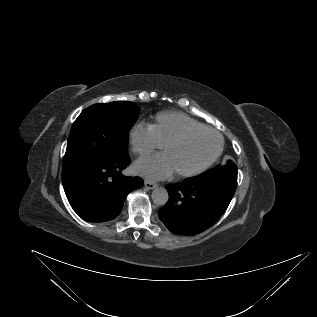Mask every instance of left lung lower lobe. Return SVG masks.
I'll list each match as a JSON object with an SVG mask.
<instances>
[{
  "instance_id": "0a47b994",
  "label": "left lung lower lobe",
  "mask_w": 317,
  "mask_h": 317,
  "mask_svg": "<svg viewBox=\"0 0 317 317\" xmlns=\"http://www.w3.org/2000/svg\"><path fill=\"white\" fill-rule=\"evenodd\" d=\"M237 181L202 174L170 184L168 203L159 210L165 226L179 235H196L214 225L226 211Z\"/></svg>"
}]
</instances>
